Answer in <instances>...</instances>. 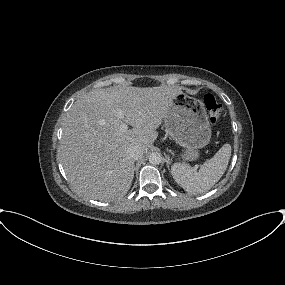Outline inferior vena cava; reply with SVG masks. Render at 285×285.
<instances>
[{
    "mask_svg": "<svg viewBox=\"0 0 285 285\" xmlns=\"http://www.w3.org/2000/svg\"><path fill=\"white\" fill-rule=\"evenodd\" d=\"M128 156L130 159L133 161H137L142 158L143 156V151L137 147V146H132L127 150Z\"/></svg>",
    "mask_w": 285,
    "mask_h": 285,
    "instance_id": "1",
    "label": "inferior vena cava"
}]
</instances>
